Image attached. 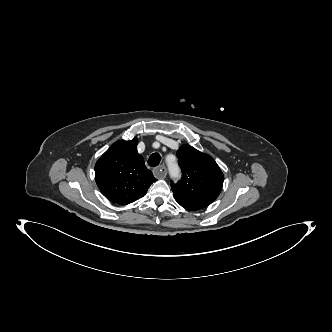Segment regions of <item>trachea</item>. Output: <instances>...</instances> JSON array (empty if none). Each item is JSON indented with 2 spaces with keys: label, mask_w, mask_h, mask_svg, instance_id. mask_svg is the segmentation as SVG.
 <instances>
[{
  "label": "trachea",
  "mask_w": 332,
  "mask_h": 332,
  "mask_svg": "<svg viewBox=\"0 0 332 332\" xmlns=\"http://www.w3.org/2000/svg\"><path fill=\"white\" fill-rule=\"evenodd\" d=\"M161 160V156L159 155V153H153L150 155L149 159H148V165L151 167H155L158 166Z\"/></svg>",
  "instance_id": "1"
}]
</instances>
